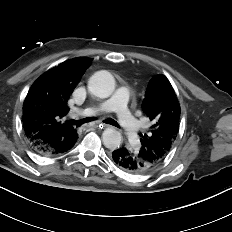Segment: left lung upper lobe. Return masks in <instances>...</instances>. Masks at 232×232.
I'll list each match as a JSON object with an SVG mask.
<instances>
[{"label": "left lung upper lobe", "instance_id": "obj_1", "mask_svg": "<svg viewBox=\"0 0 232 232\" xmlns=\"http://www.w3.org/2000/svg\"><path fill=\"white\" fill-rule=\"evenodd\" d=\"M142 108L152 125L140 134L141 148L137 153L157 166L165 159L177 138L181 113L177 95L164 75L151 79Z\"/></svg>", "mask_w": 232, "mask_h": 232}]
</instances>
